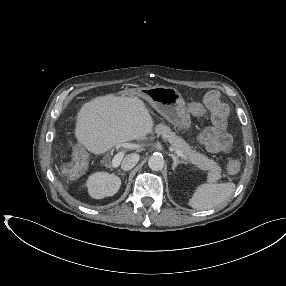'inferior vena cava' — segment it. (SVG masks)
<instances>
[{"label":"inferior vena cava","mask_w":286,"mask_h":286,"mask_svg":"<svg viewBox=\"0 0 286 286\" xmlns=\"http://www.w3.org/2000/svg\"><path fill=\"white\" fill-rule=\"evenodd\" d=\"M139 161V155L138 154H128L124 157V159L121 162V168L124 171L131 170Z\"/></svg>","instance_id":"1"}]
</instances>
